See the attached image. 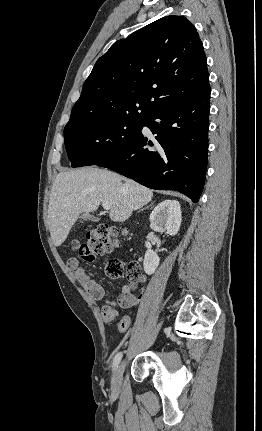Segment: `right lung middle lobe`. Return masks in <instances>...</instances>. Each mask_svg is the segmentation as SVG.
<instances>
[{
  "label": "right lung middle lobe",
  "mask_w": 262,
  "mask_h": 431,
  "mask_svg": "<svg viewBox=\"0 0 262 431\" xmlns=\"http://www.w3.org/2000/svg\"><path fill=\"white\" fill-rule=\"evenodd\" d=\"M145 119L122 116L66 126L65 147L72 167L95 165L110 157L133 139Z\"/></svg>",
  "instance_id": "obj_1"
}]
</instances>
